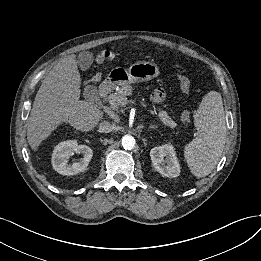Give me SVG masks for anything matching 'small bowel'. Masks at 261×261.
Here are the masks:
<instances>
[{
  "mask_svg": "<svg viewBox=\"0 0 261 261\" xmlns=\"http://www.w3.org/2000/svg\"><path fill=\"white\" fill-rule=\"evenodd\" d=\"M185 82L189 85V80L187 78H184L183 80H180V83ZM165 93L162 89H157L152 96V100L156 103H160L164 100ZM183 121H186L188 119V112L184 111L182 114Z\"/></svg>",
  "mask_w": 261,
  "mask_h": 261,
  "instance_id": "small-bowel-1",
  "label": "small bowel"
}]
</instances>
